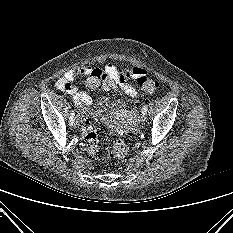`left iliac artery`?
Returning <instances> with one entry per match:
<instances>
[{
  "label": "left iliac artery",
  "instance_id": "obj_1",
  "mask_svg": "<svg viewBox=\"0 0 233 233\" xmlns=\"http://www.w3.org/2000/svg\"><path fill=\"white\" fill-rule=\"evenodd\" d=\"M147 111H148L147 106L144 105L142 108V113L147 114Z\"/></svg>",
  "mask_w": 233,
  "mask_h": 233
}]
</instances>
